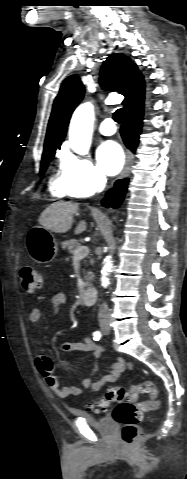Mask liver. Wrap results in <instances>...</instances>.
<instances>
[{"mask_svg":"<svg viewBox=\"0 0 187 479\" xmlns=\"http://www.w3.org/2000/svg\"><path fill=\"white\" fill-rule=\"evenodd\" d=\"M79 205L72 202H54L50 204L40 215L39 224L52 232L65 233L73 224V215L78 211ZM87 224L81 221L75 229V234L86 230Z\"/></svg>","mask_w":187,"mask_h":479,"instance_id":"1","label":"liver"}]
</instances>
